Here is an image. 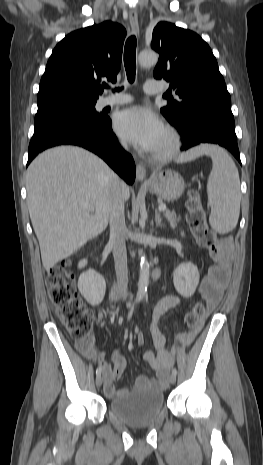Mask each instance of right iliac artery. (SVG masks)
<instances>
[{"mask_svg":"<svg viewBox=\"0 0 263 465\" xmlns=\"http://www.w3.org/2000/svg\"><path fill=\"white\" fill-rule=\"evenodd\" d=\"M133 309H134V308L132 307L131 310L129 311L128 320H129V319L131 318V316H132ZM101 373H102V367L99 366V367L97 368V370H96V375L99 376V375H101Z\"/></svg>","mask_w":263,"mask_h":465,"instance_id":"obj_1","label":"right iliac artery"}]
</instances>
